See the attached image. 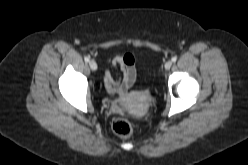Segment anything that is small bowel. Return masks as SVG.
Returning <instances> with one entry per match:
<instances>
[{"label": "small bowel", "instance_id": "small-bowel-1", "mask_svg": "<svg viewBox=\"0 0 248 165\" xmlns=\"http://www.w3.org/2000/svg\"><path fill=\"white\" fill-rule=\"evenodd\" d=\"M113 66L122 72V76L116 80L107 71L104 75L105 88L110 94L123 95L136 81L135 58L130 53L117 56L113 59Z\"/></svg>", "mask_w": 248, "mask_h": 165}]
</instances>
